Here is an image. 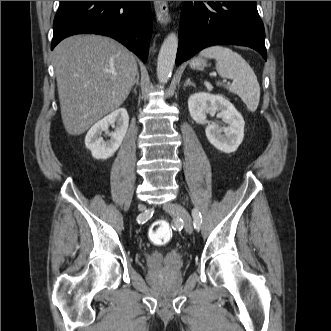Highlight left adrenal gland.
<instances>
[{
	"mask_svg": "<svg viewBox=\"0 0 331 331\" xmlns=\"http://www.w3.org/2000/svg\"><path fill=\"white\" fill-rule=\"evenodd\" d=\"M195 86V84L193 83V82H191V80L188 78L187 80H186V82H185V84H184V87H186V86Z\"/></svg>",
	"mask_w": 331,
	"mask_h": 331,
	"instance_id": "obj_1",
	"label": "left adrenal gland"
}]
</instances>
